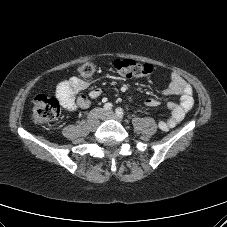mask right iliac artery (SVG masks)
Here are the masks:
<instances>
[{
  "mask_svg": "<svg viewBox=\"0 0 227 227\" xmlns=\"http://www.w3.org/2000/svg\"><path fill=\"white\" fill-rule=\"evenodd\" d=\"M112 107H113L112 103H106V104L104 105V110L109 111V110L112 109Z\"/></svg>",
  "mask_w": 227,
  "mask_h": 227,
  "instance_id": "82829eb1",
  "label": "right iliac artery"
}]
</instances>
